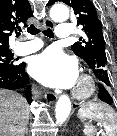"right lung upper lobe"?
I'll use <instances>...</instances> for the list:
<instances>
[{
  "instance_id": "obj_1",
  "label": "right lung upper lobe",
  "mask_w": 117,
  "mask_h": 136,
  "mask_svg": "<svg viewBox=\"0 0 117 136\" xmlns=\"http://www.w3.org/2000/svg\"><path fill=\"white\" fill-rule=\"evenodd\" d=\"M32 17L28 0H0V52L9 50V36L17 32L19 23Z\"/></svg>"
}]
</instances>
